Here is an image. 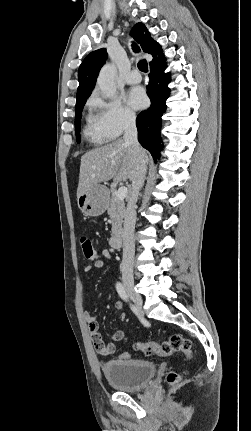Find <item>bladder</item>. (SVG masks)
I'll use <instances>...</instances> for the list:
<instances>
[{
	"instance_id": "bladder-1",
	"label": "bladder",
	"mask_w": 251,
	"mask_h": 431,
	"mask_svg": "<svg viewBox=\"0 0 251 431\" xmlns=\"http://www.w3.org/2000/svg\"><path fill=\"white\" fill-rule=\"evenodd\" d=\"M102 372L109 385L119 391L135 392L153 378L156 366L147 360L116 359L106 362Z\"/></svg>"
}]
</instances>
